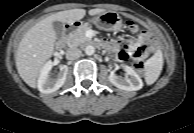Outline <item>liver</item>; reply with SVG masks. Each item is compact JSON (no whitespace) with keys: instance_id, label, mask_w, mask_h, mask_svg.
I'll return each mask as SVG.
<instances>
[{"instance_id":"liver-1","label":"liver","mask_w":194,"mask_h":133,"mask_svg":"<svg viewBox=\"0 0 194 133\" xmlns=\"http://www.w3.org/2000/svg\"><path fill=\"white\" fill-rule=\"evenodd\" d=\"M106 10L96 8L89 10L90 16L104 13ZM86 14L84 9H71L51 14L29 29L21 39L17 54L16 68L23 81L32 88L37 87V79L46 61L54 53L57 39L53 22L59 21L72 25Z\"/></svg>"}]
</instances>
